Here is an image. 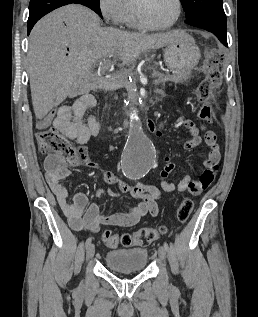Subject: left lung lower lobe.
I'll return each mask as SVG.
<instances>
[{
  "mask_svg": "<svg viewBox=\"0 0 258 317\" xmlns=\"http://www.w3.org/2000/svg\"><path fill=\"white\" fill-rule=\"evenodd\" d=\"M203 29L212 32L217 38L227 46V36H226V29H220L215 27H202Z\"/></svg>",
  "mask_w": 258,
  "mask_h": 317,
  "instance_id": "obj_1",
  "label": "left lung lower lobe"
}]
</instances>
